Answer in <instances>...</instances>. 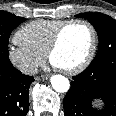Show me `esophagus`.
<instances>
[{
  "instance_id": "34e87169",
  "label": "esophagus",
  "mask_w": 116,
  "mask_h": 116,
  "mask_svg": "<svg viewBox=\"0 0 116 116\" xmlns=\"http://www.w3.org/2000/svg\"><path fill=\"white\" fill-rule=\"evenodd\" d=\"M49 78V75L48 74H44V75H41V76H37L35 79L36 80H46Z\"/></svg>"
}]
</instances>
